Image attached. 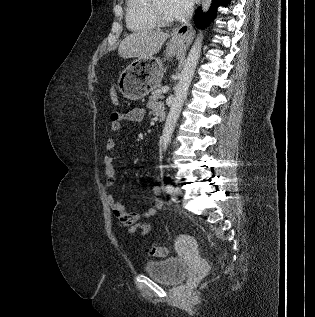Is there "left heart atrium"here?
Returning <instances> with one entry per match:
<instances>
[{
    "label": "left heart atrium",
    "mask_w": 315,
    "mask_h": 317,
    "mask_svg": "<svg viewBox=\"0 0 315 317\" xmlns=\"http://www.w3.org/2000/svg\"><path fill=\"white\" fill-rule=\"evenodd\" d=\"M167 9L172 18H184L192 10V0H167Z\"/></svg>",
    "instance_id": "39dd6f15"
}]
</instances>
